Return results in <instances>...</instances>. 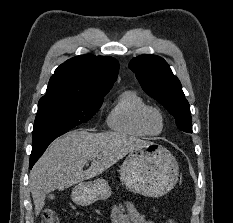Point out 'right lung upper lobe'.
Masks as SVG:
<instances>
[{
  "label": "right lung upper lobe",
  "mask_w": 233,
  "mask_h": 223,
  "mask_svg": "<svg viewBox=\"0 0 233 223\" xmlns=\"http://www.w3.org/2000/svg\"><path fill=\"white\" fill-rule=\"evenodd\" d=\"M119 63L113 57L81 55L61 64L50 78L45 96L103 98L116 81Z\"/></svg>",
  "instance_id": "1"
}]
</instances>
